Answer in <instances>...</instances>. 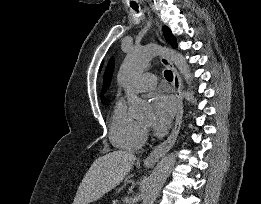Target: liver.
<instances>
[{
    "mask_svg": "<svg viewBox=\"0 0 261 204\" xmlns=\"http://www.w3.org/2000/svg\"><path fill=\"white\" fill-rule=\"evenodd\" d=\"M135 160V155L127 151H113L98 157L85 174L73 204H89L100 199L120 184Z\"/></svg>",
    "mask_w": 261,
    "mask_h": 204,
    "instance_id": "1",
    "label": "liver"
}]
</instances>
